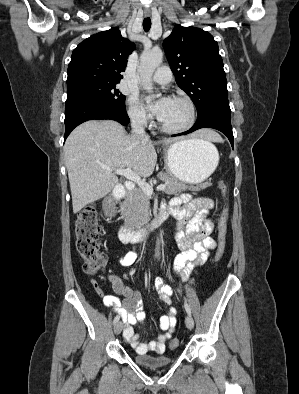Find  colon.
Wrapping results in <instances>:
<instances>
[{
  "label": "colon",
  "instance_id": "5ec220e1",
  "mask_svg": "<svg viewBox=\"0 0 299 394\" xmlns=\"http://www.w3.org/2000/svg\"><path fill=\"white\" fill-rule=\"evenodd\" d=\"M219 189L225 198L227 186L223 181L219 182ZM228 215L229 209L225 205L218 219L216 261L221 260L225 252ZM99 235L97 211L95 206L91 204L80 211L75 222L76 248L83 259L84 272L90 275L104 271L107 265L106 254L100 249ZM170 346L171 348L176 347L177 342H171Z\"/></svg>",
  "mask_w": 299,
  "mask_h": 394
}]
</instances>
